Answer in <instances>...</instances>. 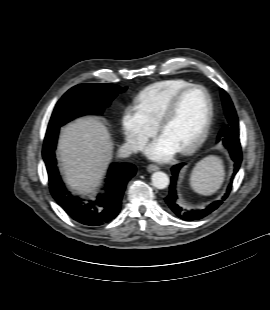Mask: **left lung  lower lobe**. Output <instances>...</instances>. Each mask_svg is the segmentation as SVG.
Returning a JSON list of instances; mask_svg holds the SVG:
<instances>
[{"label": "left lung lower lobe", "instance_id": "1", "mask_svg": "<svg viewBox=\"0 0 270 310\" xmlns=\"http://www.w3.org/2000/svg\"><path fill=\"white\" fill-rule=\"evenodd\" d=\"M231 155L232 160L234 161V172L231 177V181L233 180L234 176L238 172L240 168V164L242 161V153H241V146H233L228 149ZM184 164H178L172 167V177H171V182L169 186V192L167 196L165 197V202L169 206V208L181 219L186 220V221H192V220H198L201 219L211 212H213L215 209H217L221 204L222 200L226 199L227 196L230 193V190L232 188V182L229 184L227 191L225 195L223 196L222 200L214 201L212 202L209 206H207L203 210H186L180 207L177 203V194H176V182H177V177L178 173L181 169V167Z\"/></svg>", "mask_w": 270, "mask_h": 310}]
</instances>
